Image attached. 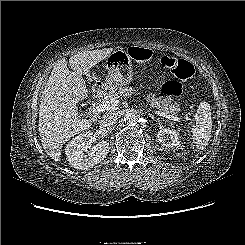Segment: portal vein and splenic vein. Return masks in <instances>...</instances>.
Listing matches in <instances>:
<instances>
[{"instance_id":"18ae733b","label":"portal vein and splenic vein","mask_w":245,"mask_h":245,"mask_svg":"<svg viewBox=\"0 0 245 245\" xmlns=\"http://www.w3.org/2000/svg\"><path fill=\"white\" fill-rule=\"evenodd\" d=\"M119 104L118 99L104 100L100 104L89 108V113H101L103 111L115 110ZM155 114L170 119L172 121L181 122V118L164 112L154 111Z\"/></svg>"}]
</instances>
